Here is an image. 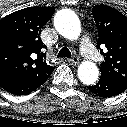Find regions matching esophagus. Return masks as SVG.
Instances as JSON below:
<instances>
[{"instance_id": "obj_1", "label": "esophagus", "mask_w": 127, "mask_h": 127, "mask_svg": "<svg viewBox=\"0 0 127 127\" xmlns=\"http://www.w3.org/2000/svg\"><path fill=\"white\" fill-rule=\"evenodd\" d=\"M67 62L70 65H77L79 63V57L78 56H73L72 58L68 59Z\"/></svg>"}]
</instances>
